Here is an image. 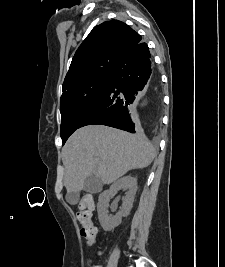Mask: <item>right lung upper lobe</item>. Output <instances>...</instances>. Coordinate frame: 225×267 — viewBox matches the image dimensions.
Instances as JSON below:
<instances>
[{"label":"right lung upper lobe","mask_w":225,"mask_h":267,"mask_svg":"<svg viewBox=\"0 0 225 267\" xmlns=\"http://www.w3.org/2000/svg\"><path fill=\"white\" fill-rule=\"evenodd\" d=\"M141 36L119 20L95 26L77 49L63 82V91L84 80L112 73L123 53Z\"/></svg>","instance_id":"1"}]
</instances>
